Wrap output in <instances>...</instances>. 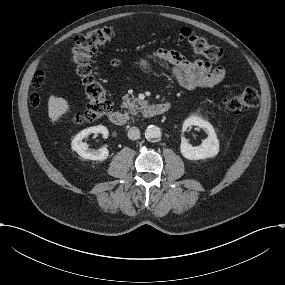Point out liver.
I'll return each instance as SVG.
<instances>
[{
  "label": "liver",
  "mask_w": 285,
  "mask_h": 285,
  "mask_svg": "<svg viewBox=\"0 0 285 285\" xmlns=\"http://www.w3.org/2000/svg\"><path fill=\"white\" fill-rule=\"evenodd\" d=\"M71 105L66 98L51 94L48 98V117L52 125H56L71 112Z\"/></svg>",
  "instance_id": "1"
}]
</instances>
